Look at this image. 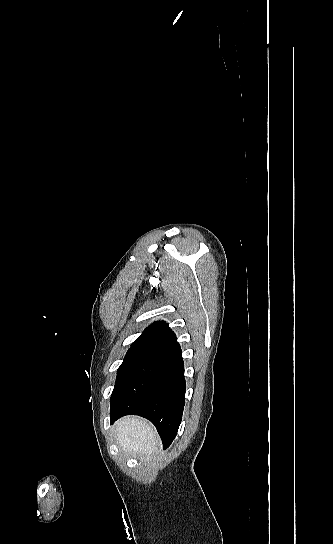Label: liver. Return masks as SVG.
I'll return each instance as SVG.
<instances>
[{
  "instance_id": "1",
  "label": "liver",
  "mask_w": 333,
  "mask_h": 544,
  "mask_svg": "<svg viewBox=\"0 0 333 544\" xmlns=\"http://www.w3.org/2000/svg\"><path fill=\"white\" fill-rule=\"evenodd\" d=\"M119 447L134 456H150L158 452L157 434L153 426L146 420L127 416L116 424Z\"/></svg>"
}]
</instances>
